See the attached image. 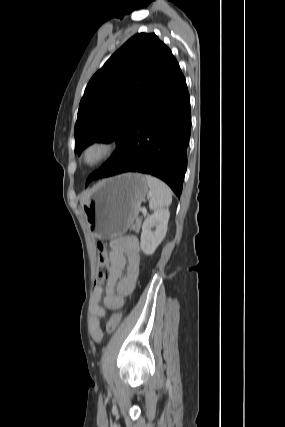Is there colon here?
<instances>
[{"instance_id": "5ec220e1", "label": "colon", "mask_w": 285, "mask_h": 427, "mask_svg": "<svg viewBox=\"0 0 285 427\" xmlns=\"http://www.w3.org/2000/svg\"><path fill=\"white\" fill-rule=\"evenodd\" d=\"M98 247V263L96 266L95 285L101 287L105 284L109 276V263L107 257V247L105 243L99 242ZM122 318L121 312H116L109 319L106 329L108 332H113Z\"/></svg>"}]
</instances>
